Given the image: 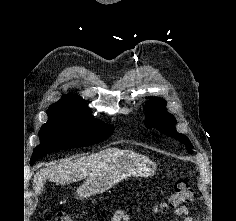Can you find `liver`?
<instances>
[{"label":"liver","instance_id":"liver-1","mask_svg":"<svg viewBox=\"0 0 236 221\" xmlns=\"http://www.w3.org/2000/svg\"><path fill=\"white\" fill-rule=\"evenodd\" d=\"M118 152L120 150L117 148H108L89 156H82L74 160L68 158L58 163H52L34 175L33 190L36 194H40L46 180L65 185L87 178L100 168L104 161Z\"/></svg>","mask_w":236,"mask_h":221}]
</instances>
